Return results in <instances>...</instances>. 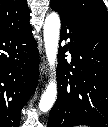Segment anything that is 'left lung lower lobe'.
<instances>
[{
	"instance_id": "left-lung-lower-lobe-1",
	"label": "left lung lower lobe",
	"mask_w": 108,
	"mask_h": 127,
	"mask_svg": "<svg viewBox=\"0 0 108 127\" xmlns=\"http://www.w3.org/2000/svg\"><path fill=\"white\" fill-rule=\"evenodd\" d=\"M51 8L61 17L60 42H70L59 48L58 96L48 127H108V29L80 18L64 4L51 3Z\"/></svg>"
}]
</instances>
